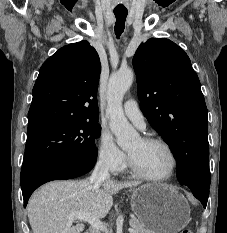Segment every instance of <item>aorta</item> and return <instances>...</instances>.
I'll use <instances>...</instances> for the list:
<instances>
[{
	"mask_svg": "<svg viewBox=\"0 0 227 233\" xmlns=\"http://www.w3.org/2000/svg\"><path fill=\"white\" fill-rule=\"evenodd\" d=\"M133 79V71L125 69L112 74L108 83V107L106 111L110 117L111 131L116 136L117 144L123 149L138 138V133L129 124L122 108L123 97L131 87Z\"/></svg>",
	"mask_w": 227,
	"mask_h": 233,
	"instance_id": "aorta-1",
	"label": "aorta"
}]
</instances>
